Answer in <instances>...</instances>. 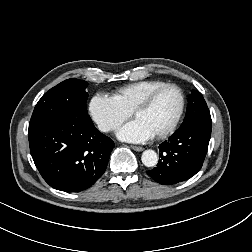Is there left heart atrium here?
<instances>
[{
    "label": "left heart atrium",
    "instance_id": "39dd6f15",
    "mask_svg": "<svg viewBox=\"0 0 252 252\" xmlns=\"http://www.w3.org/2000/svg\"><path fill=\"white\" fill-rule=\"evenodd\" d=\"M117 136L127 142L140 143L153 138L155 135L141 120L135 119L121 127Z\"/></svg>",
    "mask_w": 252,
    "mask_h": 252
}]
</instances>
